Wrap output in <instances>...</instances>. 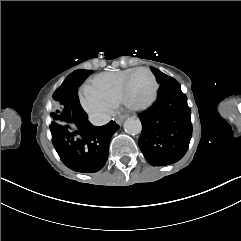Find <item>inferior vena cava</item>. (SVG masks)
Here are the masks:
<instances>
[{"label": "inferior vena cava", "instance_id": "inferior-vena-cava-1", "mask_svg": "<svg viewBox=\"0 0 241 241\" xmlns=\"http://www.w3.org/2000/svg\"><path fill=\"white\" fill-rule=\"evenodd\" d=\"M111 120V116L107 114H100L97 116H93L90 118V122L95 126H102L109 123Z\"/></svg>", "mask_w": 241, "mask_h": 241}]
</instances>
